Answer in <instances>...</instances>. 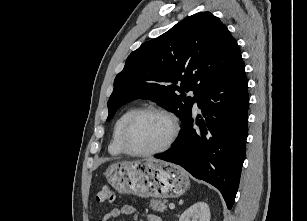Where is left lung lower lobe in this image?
Instances as JSON below:
<instances>
[{
  "label": "left lung lower lobe",
  "mask_w": 307,
  "mask_h": 221,
  "mask_svg": "<svg viewBox=\"0 0 307 221\" xmlns=\"http://www.w3.org/2000/svg\"><path fill=\"white\" fill-rule=\"evenodd\" d=\"M198 102L205 117L196 120L199 130L193 129L191 114L173 147L155 157L178 164L194 177L215 186L231 209L247 138L249 96L241 54Z\"/></svg>",
  "instance_id": "0a47b994"
}]
</instances>
